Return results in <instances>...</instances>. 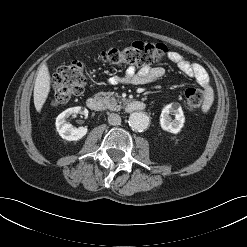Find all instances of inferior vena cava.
Wrapping results in <instances>:
<instances>
[{"label": "inferior vena cava", "mask_w": 247, "mask_h": 247, "mask_svg": "<svg viewBox=\"0 0 247 247\" xmlns=\"http://www.w3.org/2000/svg\"><path fill=\"white\" fill-rule=\"evenodd\" d=\"M108 122L110 125H120L121 117L116 113H110L108 116Z\"/></svg>", "instance_id": "1"}]
</instances>
